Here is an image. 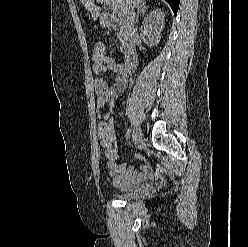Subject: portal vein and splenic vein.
I'll use <instances>...</instances> for the list:
<instances>
[{"instance_id": "obj_1", "label": "portal vein and splenic vein", "mask_w": 248, "mask_h": 247, "mask_svg": "<svg viewBox=\"0 0 248 247\" xmlns=\"http://www.w3.org/2000/svg\"><path fill=\"white\" fill-rule=\"evenodd\" d=\"M97 2H105L107 5H110L108 0H97ZM113 12H118V10L115 7H113Z\"/></svg>"}]
</instances>
